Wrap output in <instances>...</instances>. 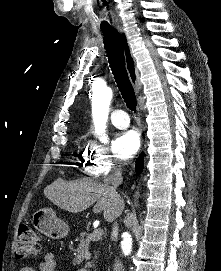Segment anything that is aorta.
<instances>
[{
	"label": "aorta",
	"instance_id": "obj_1",
	"mask_svg": "<svg viewBox=\"0 0 221 271\" xmlns=\"http://www.w3.org/2000/svg\"><path fill=\"white\" fill-rule=\"evenodd\" d=\"M112 99V90L106 88L104 91L95 95L93 100V118L97 129L105 128L109 106ZM121 248L125 255H129L132 251V238L127 232L122 234Z\"/></svg>",
	"mask_w": 221,
	"mask_h": 271
}]
</instances>
